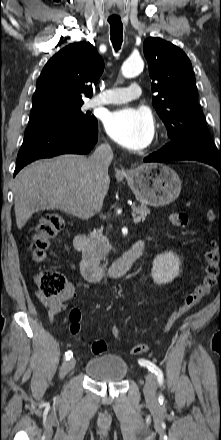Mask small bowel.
Segmentation results:
<instances>
[{"mask_svg": "<svg viewBox=\"0 0 221 440\" xmlns=\"http://www.w3.org/2000/svg\"><path fill=\"white\" fill-rule=\"evenodd\" d=\"M78 286L77 283L73 281H67L66 289L64 292L53 299L44 298L42 295L38 294L39 299L48 308V314L51 320H54L55 316L67 309V301L73 297L75 293V288Z\"/></svg>", "mask_w": 221, "mask_h": 440, "instance_id": "1", "label": "small bowel"}]
</instances>
